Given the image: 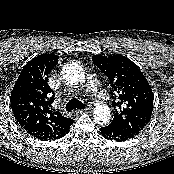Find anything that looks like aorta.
Masks as SVG:
<instances>
[{"label":"aorta","mask_w":174,"mask_h":174,"mask_svg":"<svg viewBox=\"0 0 174 174\" xmlns=\"http://www.w3.org/2000/svg\"><path fill=\"white\" fill-rule=\"evenodd\" d=\"M61 73L63 78L69 83L78 84L85 79L83 68L75 62L66 63L63 66ZM93 117L98 124H108L111 119L109 107L101 103L96 104L93 110Z\"/></svg>","instance_id":"1"}]
</instances>
